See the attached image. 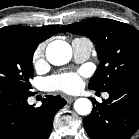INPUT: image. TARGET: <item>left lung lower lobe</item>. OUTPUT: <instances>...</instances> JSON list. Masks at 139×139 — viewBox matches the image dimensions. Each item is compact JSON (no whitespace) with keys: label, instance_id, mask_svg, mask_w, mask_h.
I'll return each mask as SVG.
<instances>
[{"label":"left lung lower lobe","instance_id":"left-lung-lower-lobe-1","mask_svg":"<svg viewBox=\"0 0 139 139\" xmlns=\"http://www.w3.org/2000/svg\"><path fill=\"white\" fill-rule=\"evenodd\" d=\"M102 103L93 99V111L83 124L92 139H129L139 128V75L107 91Z\"/></svg>","mask_w":139,"mask_h":139}]
</instances>
